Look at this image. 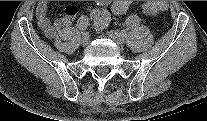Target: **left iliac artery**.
I'll list each match as a JSON object with an SVG mask.
<instances>
[{"instance_id": "1", "label": "left iliac artery", "mask_w": 207, "mask_h": 121, "mask_svg": "<svg viewBox=\"0 0 207 121\" xmlns=\"http://www.w3.org/2000/svg\"><path fill=\"white\" fill-rule=\"evenodd\" d=\"M139 21H140V18L136 14L129 15L127 17V22L129 24H132V23L137 24Z\"/></svg>"}]
</instances>
